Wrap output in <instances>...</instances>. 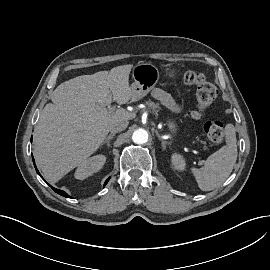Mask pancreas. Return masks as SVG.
Instances as JSON below:
<instances>
[{
	"label": "pancreas",
	"instance_id": "1",
	"mask_svg": "<svg viewBox=\"0 0 270 270\" xmlns=\"http://www.w3.org/2000/svg\"><path fill=\"white\" fill-rule=\"evenodd\" d=\"M146 105L148 106L149 109H151L155 114L159 111L160 107L158 103H155L151 100L146 101Z\"/></svg>",
	"mask_w": 270,
	"mask_h": 270
}]
</instances>
